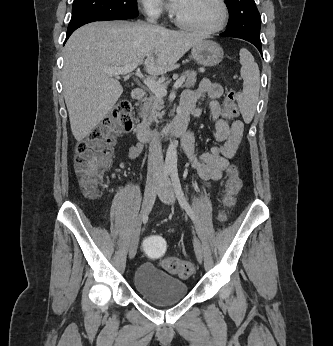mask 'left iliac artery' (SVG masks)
<instances>
[{
  "instance_id": "1",
  "label": "left iliac artery",
  "mask_w": 333,
  "mask_h": 346,
  "mask_svg": "<svg viewBox=\"0 0 333 346\" xmlns=\"http://www.w3.org/2000/svg\"><path fill=\"white\" fill-rule=\"evenodd\" d=\"M170 176H171V180H172L175 194L178 198V201H179L181 207L186 211V213L189 215V217L195 222L196 221L195 214H194L193 209L191 208V206L189 205V203L187 202V200L184 196L177 168H171Z\"/></svg>"
}]
</instances>
